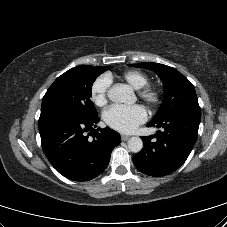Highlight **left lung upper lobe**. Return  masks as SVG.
<instances>
[{"mask_svg":"<svg viewBox=\"0 0 227 227\" xmlns=\"http://www.w3.org/2000/svg\"><path fill=\"white\" fill-rule=\"evenodd\" d=\"M130 66L149 68L163 82V101L152 122L163 120L182 111H200L194 86L175 68L151 62L132 64Z\"/></svg>","mask_w":227,"mask_h":227,"instance_id":"1","label":"left lung upper lobe"}]
</instances>
